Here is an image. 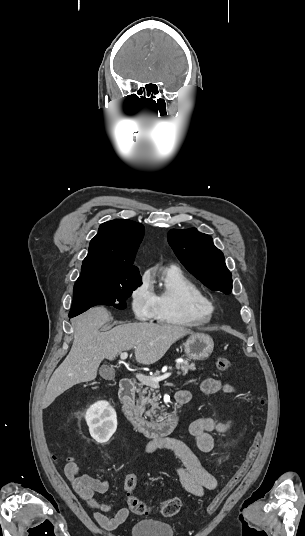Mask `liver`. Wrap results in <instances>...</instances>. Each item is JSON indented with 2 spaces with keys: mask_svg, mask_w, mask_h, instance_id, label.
I'll return each instance as SVG.
<instances>
[{
  "mask_svg": "<svg viewBox=\"0 0 305 536\" xmlns=\"http://www.w3.org/2000/svg\"><path fill=\"white\" fill-rule=\"evenodd\" d=\"M106 308H91L71 320L74 328L73 346L63 364L55 370L46 388L42 408H48L57 396L81 382H92L102 360H115L120 352L134 348L135 360L144 366L158 362L170 346L193 334L183 326L171 324H123L109 332H99L109 322Z\"/></svg>",
  "mask_w": 305,
  "mask_h": 536,
  "instance_id": "obj_1",
  "label": "liver"
}]
</instances>
